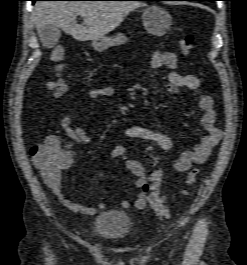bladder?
<instances>
[{"label": "bladder", "instance_id": "31cf9c89", "mask_svg": "<svg viewBox=\"0 0 247 265\" xmlns=\"http://www.w3.org/2000/svg\"><path fill=\"white\" fill-rule=\"evenodd\" d=\"M133 223L126 212L105 210L96 214L93 230L108 239H120L130 234Z\"/></svg>", "mask_w": 247, "mask_h": 265}]
</instances>
